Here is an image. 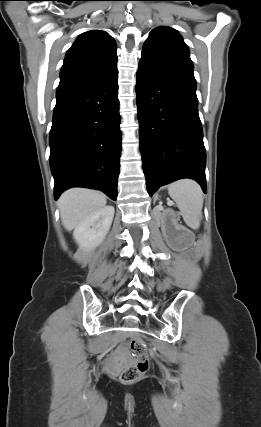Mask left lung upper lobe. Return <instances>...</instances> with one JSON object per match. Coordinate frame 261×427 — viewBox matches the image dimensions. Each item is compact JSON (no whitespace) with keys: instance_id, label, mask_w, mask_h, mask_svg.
Segmentation results:
<instances>
[{"instance_id":"obj_1","label":"left lung upper lobe","mask_w":261,"mask_h":427,"mask_svg":"<svg viewBox=\"0 0 261 427\" xmlns=\"http://www.w3.org/2000/svg\"><path fill=\"white\" fill-rule=\"evenodd\" d=\"M142 54L193 70L188 46L171 27L155 28L143 45Z\"/></svg>"}]
</instances>
